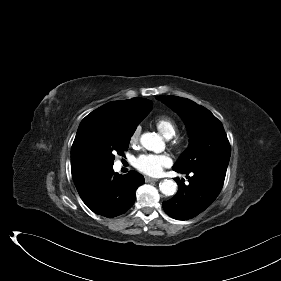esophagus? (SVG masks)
I'll list each match as a JSON object with an SVG mask.
<instances>
[{
  "instance_id": "1",
  "label": "esophagus",
  "mask_w": 281,
  "mask_h": 281,
  "mask_svg": "<svg viewBox=\"0 0 281 281\" xmlns=\"http://www.w3.org/2000/svg\"><path fill=\"white\" fill-rule=\"evenodd\" d=\"M145 181H146V182H157L158 179L150 178V177H145Z\"/></svg>"
}]
</instances>
